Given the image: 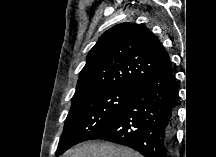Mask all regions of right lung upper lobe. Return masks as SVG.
Returning <instances> with one entry per match:
<instances>
[{
    "instance_id": "right-lung-upper-lobe-1",
    "label": "right lung upper lobe",
    "mask_w": 216,
    "mask_h": 157,
    "mask_svg": "<svg viewBox=\"0 0 216 157\" xmlns=\"http://www.w3.org/2000/svg\"><path fill=\"white\" fill-rule=\"evenodd\" d=\"M169 61L160 40L148 28L118 24L104 32L90 50L72 101L94 91L133 87Z\"/></svg>"
}]
</instances>
